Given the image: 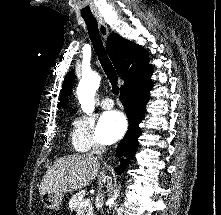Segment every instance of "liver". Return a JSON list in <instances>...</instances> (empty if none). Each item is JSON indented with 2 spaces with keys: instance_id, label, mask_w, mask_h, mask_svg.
<instances>
[{
  "instance_id": "6515ba94",
  "label": "liver",
  "mask_w": 221,
  "mask_h": 215,
  "mask_svg": "<svg viewBox=\"0 0 221 215\" xmlns=\"http://www.w3.org/2000/svg\"><path fill=\"white\" fill-rule=\"evenodd\" d=\"M100 161L91 154L69 155L56 160L43 176L40 195L53 191L74 192L88 186L99 174ZM100 179L104 180V171Z\"/></svg>"
}]
</instances>
